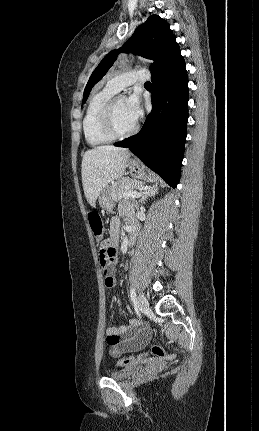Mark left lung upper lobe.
Segmentation results:
<instances>
[{
	"label": "left lung upper lobe",
	"mask_w": 259,
	"mask_h": 431,
	"mask_svg": "<svg viewBox=\"0 0 259 431\" xmlns=\"http://www.w3.org/2000/svg\"><path fill=\"white\" fill-rule=\"evenodd\" d=\"M175 41L176 37L169 24L158 15L150 16L121 48L111 51L103 58L89 78L84 90L83 103L87 100L92 87L107 73L121 52L135 53L152 59L154 62L151 71H153L161 62L165 51Z\"/></svg>",
	"instance_id": "left-lung-upper-lobe-1"
}]
</instances>
